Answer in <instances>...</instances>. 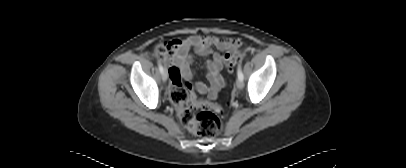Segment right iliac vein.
I'll use <instances>...</instances> for the list:
<instances>
[{
    "label": "right iliac vein",
    "instance_id": "1",
    "mask_svg": "<svg viewBox=\"0 0 406 168\" xmlns=\"http://www.w3.org/2000/svg\"><path fill=\"white\" fill-rule=\"evenodd\" d=\"M161 76H162V80H163L164 82L167 81L168 73H167V70H166V69L163 70V72L161 73Z\"/></svg>",
    "mask_w": 406,
    "mask_h": 168
}]
</instances>
